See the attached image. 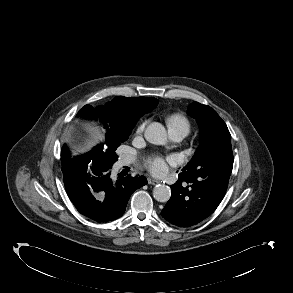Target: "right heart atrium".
Here are the masks:
<instances>
[{
  "mask_svg": "<svg viewBox=\"0 0 293 293\" xmlns=\"http://www.w3.org/2000/svg\"><path fill=\"white\" fill-rule=\"evenodd\" d=\"M145 125H146V122H141L138 126H137V129H136V132L138 134L142 133L145 129Z\"/></svg>",
  "mask_w": 293,
  "mask_h": 293,
  "instance_id": "1",
  "label": "right heart atrium"
}]
</instances>
